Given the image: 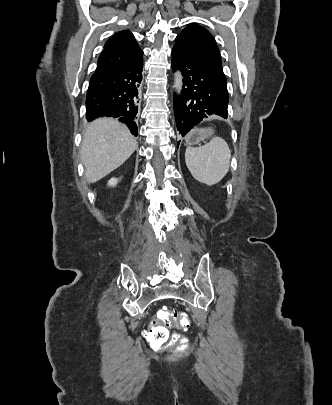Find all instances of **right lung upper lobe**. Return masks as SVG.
<instances>
[{"mask_svg":"<svg viewBox=\"0 0 332 405\" xmlns=\"http://www.w3.org/2000/svg\"><path fill=\"white\" fill-rule=\"evenodd\" d=\"M143 57V51L138 46L134 36L123 30L115 33L104 46L98 58L96 71L122 68Z\"/></svg>","mask_w":332,"mask_h":405,"instance_id":"right-lung-upper-lobe-1","label":"right lung upper lobe"}]
</instances>
